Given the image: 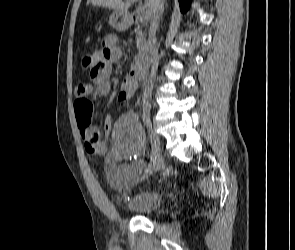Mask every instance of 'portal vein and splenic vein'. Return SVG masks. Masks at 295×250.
Returning <instances> with one entry per match:
<instances>
[{
    "mask_svg": "<svg viewBox=\"0 0 295 250\" xmlns=\"http://www.w3.org/2000/svg\"><path fill=\"white\" fill-rule=\"evenodd\" d=\"M129 1H131V2H137V1H139V0H129ZM151 15V10H150V8L148 7L145 11H144V18H148L149 16Z\"/></svg>",
    "mask_w": 295,
    "mask_h": 250,
    "instance_id": "18ae733b",
    "label": "portal vein and splenic vein"
}]
</instances>
